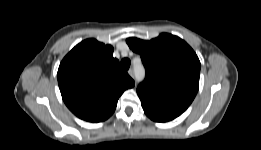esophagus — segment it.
<instances>
[{
    "mask_svg": "<svg viewBox=\"0 0 261 150\" xmlns=\"http://www.w3.org/2000/svg\"><path fill=\"white\" fill-rule=\"evenodd\" d=\"M128 74L133 78L134 77V70L133 69H129L128 70Z\"/></svg>",
    "mask_w": 261,
    "mask_h": 150,
    "instance_id": "obj_1",
    "label": "esophagus"
}]
</instances>
